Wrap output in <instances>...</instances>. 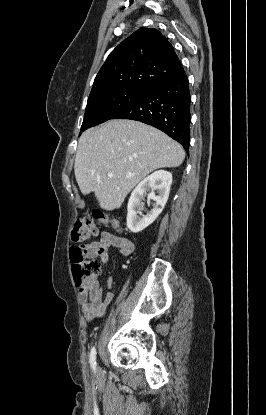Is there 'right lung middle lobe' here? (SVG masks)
Segmentation results:
<instances>
[{"instance_id": "right-lung-middle-lobe-1", "label": "right lung middle lobe", "mask_w": 266, "mask_h": 415, "mask_svg": "<svg viewBox=\"0 0 266 415\" xmlns=\"http://www.w3.org/2000/svg\"><path fill=\"white\" fill-rule=\"evenodd\" d=\"M149 90L114 88L89 96L82 131L111 119L115 114L143 99Z\"/></svg>"}]
</instances>
